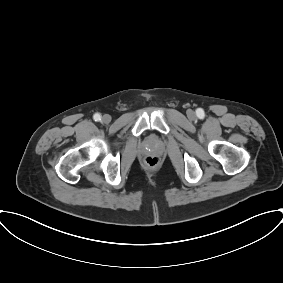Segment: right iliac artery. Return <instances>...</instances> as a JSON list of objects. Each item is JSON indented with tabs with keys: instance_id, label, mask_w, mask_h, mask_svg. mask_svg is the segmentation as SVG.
Here are the masks:
<instances>
[{
	"instance_id": "82829eb1",
	"label": "right iliac artery",
	"mask_w": 283,
	"mask_h": 283,
	"mask_svg": "<svg viewBox=\"0 0 283 283\" xmlns=\"http://www.w3.org/2000/svg\"><path fill=\"white\" fill-rule=\"evenodd\" d=\"M93 119L95 121H100L101 120V115L99 113L94 114Z\"/></svg>"
}]
</instances>
